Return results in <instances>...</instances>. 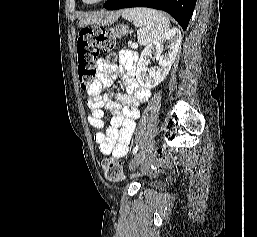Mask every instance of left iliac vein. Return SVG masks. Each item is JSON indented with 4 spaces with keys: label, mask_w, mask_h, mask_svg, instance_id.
Here are the masks:
<instances>
[{
    "label": "left iliac vein",
    "mask_w": 257,
    "mask_h": 237,
    "mask_svg": "<svg viewBox=\"0 0 257 237\" xmlns=\"http://www.w3.org/2000/svg\"><path fill=\"white\" fill-rule=\"evenodd\" d=\"M155 142L152 141L150 144H148L146 147L142 148L137 154L136 156L133 158V160L130 162L129 167L135 168L136 166H138L140 163H142L151 153V151L153 150Z\"/></svg>",
    "instance_id": "1"
}]
</instances>
